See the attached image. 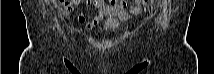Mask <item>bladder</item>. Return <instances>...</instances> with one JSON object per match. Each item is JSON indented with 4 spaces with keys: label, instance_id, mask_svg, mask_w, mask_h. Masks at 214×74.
Segmentation results:
<instances>
[{
    "label": "bladder",
    "instance_id": "31cf9c89",
    "mask_svg": "<svg viewBox=\"0 0 214 74\" xmlns=\"http://www.w3.org/2000/svg\"><path fill=\"white\" fill-rule=\"evenodd\" d=\"M118 26H119V21L116 19H109L105 22V28L111 31H115Z\"/></svg>",
    "mask_w": 214,
    "mask_h": 74
}]
</instances>
